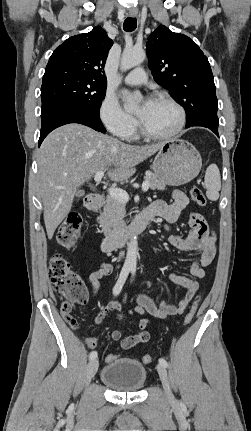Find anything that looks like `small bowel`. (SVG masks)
Here are the masks:
<instances>
[{
  "label": "small bowel",
  "instance_id": "1",
  "mask_svg": "<svg viewBox=\"0 0 251 431\" xmlns=\"http://www.w3.org/2000/svg\"><path fill=\"white\" fill-rule=\"evenodd\" d=\"M188 205V198L180 191L176 190L173 193L172 203H167L163 200L154 201L145 210L152 213L153 217H160L168 223L176 222L182 212ZM189 225L191 231L186 236L171 235L168 238L169 243L184 252L200 253V259L191 267V277L182 276L176 273H170L168 278L174 284H177L186 289V293L177 305L170 304L166 300H162L156 304L149 296L141 294L135 299V305L129 309L130 314L149 315L153 318L165 319L169 316L181 315L189 306L191 300L199 289L198 280L204 278L205 268L210 265L216 253V236L209 228L205 218L199 214L192 212L189 215ZM113 272L111 263L104 261L100 268L93 271L89 276V282L92 287V292L97 295L100 289L99 280ZM139 287L150 286L149 281L139 283ZM126 299L120 302H110L105 305L96 315L94 323L100 325L110 312H118L117 318L122 323L124 315L122 314V306ZM151 321L147 318L141 319L138 322V332L135 334L125 335L120 330H115L110 337L113 341H120V347L124 350L130 349L138 344L145 343L150 339V334L146 330ZM106 359V358H105Z\"/></svg>",
  "mask_w": 251,
  "mask_h": 431
}]
</instances>
